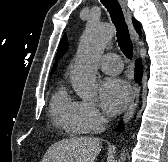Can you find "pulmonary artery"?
Instances as JSON below:
<instances>
[{
    "instance_id": "pulmonary-artery-1",
    "label": "pulmonary artery",
    "mask_w": 168,
    "mask_h": 162,
    "mask_svg": "<svg viewBox=\"0 0 168 162\" xmlns=\"http://www.w3.org/2000/svg\"><path fill=\"white\" fill-rule=\"evenodd\" d=\"M98 65L107 74H118L122 70L121 58L114 53L104 54L99 59Z\"/></svg>"
}]
</instances>
